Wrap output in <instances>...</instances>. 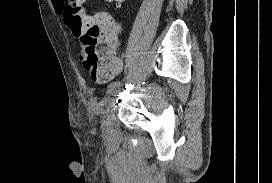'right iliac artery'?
Segmentation results:
<instances>
[{"label": "right iliac artery", "mask_w": 272, "mask_h": 183, "mask_svg": "<svg viewBox=\"0 0 272 183\" xmlns=\"http://www.w3.org/2000/svg\"><path fill=\"white\" fill-rule=\"evenodd\" d=\"M120 85H121V84H120L119 81L112 82V83L108 86V91H107V92H111V91L115 90V89L118 88Z\"/></svg>", "instance_id": "82829eb1"}]
</instances>
